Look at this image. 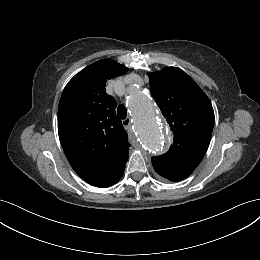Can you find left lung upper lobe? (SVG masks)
Here are the masks:
<instances>
[{
    "label": "left lung upper lobe",
    "mask_w": 260,
    "mask_h": 260,
    "mask_svg": "<svg viewBox=\"0 0 260 260\" xmlns=\"http://www.w3.org/2000/svg\"><path fill=\"white\" fill-rule=\"evenodd\" d=\"M151 95L173 131L165 154L152 157L156 173L170 181L187 178L204 157L213 131L214 111L206 94L177 67L148 73Z\"/></svg>",
    "instance_id": "1"
}]
</instances>
